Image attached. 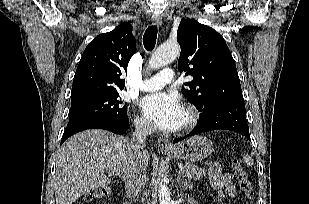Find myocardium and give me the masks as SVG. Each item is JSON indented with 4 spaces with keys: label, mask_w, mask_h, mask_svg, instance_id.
Returning <instances> with one entry per match:
<instances>
[{
    "label": "myocardium",
    "mask_w": 309,
    "mask_h": 204,
    "mask_svg": "<svg viewBox=\"0 0 309 204\" xmlns=\"http://www.w3.org/2000/svg\"><path fill=\"white\" fill-rule=\"evenodd\" d=\"M183 111L186 114L185 122L178 126L175 131L178 133H183L192 130L198 123L199 120V112L192 105H185L183 107Z\"/></svg>",
    "instance_id": "1"
}]
</instances>
